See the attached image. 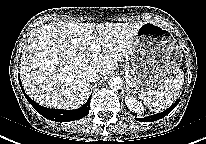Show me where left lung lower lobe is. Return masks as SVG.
<instances>
[{
	"mask_svg": "<svg viewBox=\"0 0 206 144\" xmlns=\"http://www.w3.org/2000/svg\"><path fill=\"white\" fill-rule=\"evenodd\" d=\"M180 102V99H178L170 108H168L167 110H165L162 113H158L156 115H152V116H148L145 118H138V121H142V122H151V121H157L163 117H165L167 114H169L176 106L177 104Z\"/></svg>",
	"mask_w": 206,
	"mask_h": 144,
	"instance_id": "obj_1",
	"label": "left lung lower lobe"
}]
</instances>
